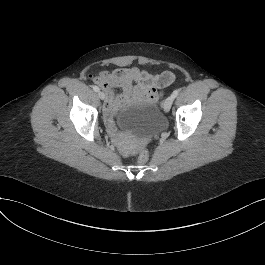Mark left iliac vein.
Wrapping results in <instances>:
<instances>
[{
  "label": "left iliac vein",
  "mask_w": 265,
  "mask_h": 265,
  "mask_svg": "<svg viewBox=\"0 0 265 265\" xmlns=\"http://www.w3.org/2000/svg\"><path fill=\"white\" fill-rule=\"evenodd\" d=\"M174 98L172 96H169L165 101H164V111L168 112L171 109V106L173 104Z\"/></svg>",
  "instance_id": "1"
}]
</instances>
